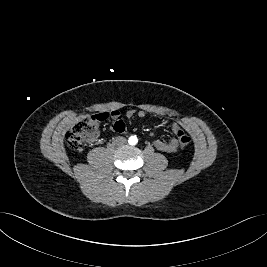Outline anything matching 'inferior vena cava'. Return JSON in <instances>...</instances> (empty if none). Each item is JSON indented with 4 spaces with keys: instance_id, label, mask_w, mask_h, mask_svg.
<instances>
[{
    "instance_id": "602c4592",
    "label": "inferior vena cava",
    "mask_w": 267,
    "mask_h": 267,
    "mask_svg": "<svg viewBox=\"0 0 267 267\" xmlns=\"http://www.w3.org/2000/svg\"><path fill=\"white\" fill-rule=\"evenodd\" d=\"M116 141L119 145H123L126 143L127 140L124 137H117Z\"/></svg>"
}]
</instances>
